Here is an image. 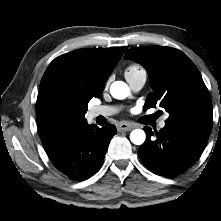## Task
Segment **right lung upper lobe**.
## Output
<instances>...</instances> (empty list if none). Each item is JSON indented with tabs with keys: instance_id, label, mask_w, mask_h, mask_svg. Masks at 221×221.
<instances>
[{
	"instance_id": "cb5924a9",
	"label": "right lung upper lobe",
	"mask_w": 221,
	"mask_h": 221,
	"mask_svg": "<svg viewBox=\"0 0 221 221\" xmlns=\"http://www.w3.org/2000/svg\"><path fill=\"white\" fill-rule=\"evenodd\" d=\"M127 48L79 49L60 55L49 64L40 83L36 114L40 135L50 157L74 131L61 130L50 122L46 109L50 90L58 84H73L81 80L86 96L99 98L104 90V82ZM84 122L87 121L83 117L81 123Z\"/></svg>"
}]
</instances>
